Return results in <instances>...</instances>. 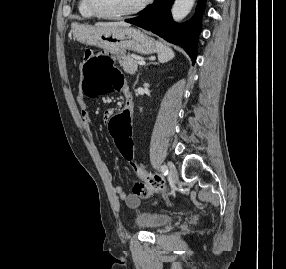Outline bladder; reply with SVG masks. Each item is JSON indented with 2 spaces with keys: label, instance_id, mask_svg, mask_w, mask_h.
Wrapping results in <instances>:
<instances>
[{
  "label": "bladder",
  "instance_id": "obj_1",
  "mask_svg": "<svg viewBox=\"0 0 286 269\" xmlns=\"http://www.w3.org/2000/svg\"><path fill=\"white\" fill-rule=\"evenodd\" d=\"M172 217L152 211H141L135 215L134 223L137 228L144 231H155L167 226Z\"/></svg>",
  "mask_w": 286,
  "mask_h": 269
}]
</instances>
